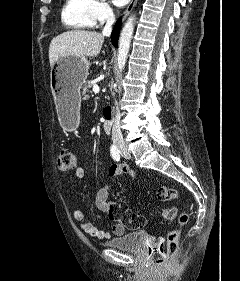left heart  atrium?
Returning <instances> with one entry per match:
<instances>
[{
	"instance_id": "1",
	"label": "left heart atrium",
	"mask_w": 240,
	"mask_h": 281,
	"mask_svg": "<svg viewBox=\"0 0 240 281\" xmlns=\"http://www.w3.org/2000/svg\"><path fill=\"white\" fill-rule=\"evenodd\" d=\"M112 1L117 6H124L129 2V0H112Z\"/></svg>"
}]
</instances>
